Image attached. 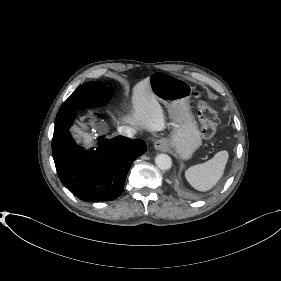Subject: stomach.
I'll use <instances>...</instances> for the list:
<instances>
[{"instance_id": "1", "label": "stomach", "mask_w": 281, "mask_h": 281, "mask_svg": "<svg viewBox=\"0 0 281 281\" xmlns=\"http://www.w3.org/2000/svg\"><path fill=\"white\" fill-rule=\"evenodd\" d=\"M149 83L157 100L174 116L172 133L164 142L181 158H190L201 145V134L188 106L190 85L181 78L159 71L149 76Z\"/></svg>"}]
</instances>
